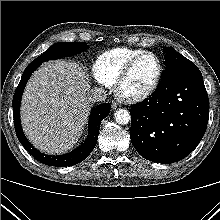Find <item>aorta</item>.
Instances as JSON below:
<instances>
[{"label": "aorta", "instance_id": "obj_1", "mask_svg": "<svg viewBox=\"0 0 220 220\" xmlns=\"http://www.w3.org/2000/svg\"><path fill=\"white\" fill-rule=\"evenodd\" d=\"M115 120L120 125H126L131 120V115L128 110L119 109L114 113Z\"/></svg>", "mask_w": 220, "mask_h": 220}]
</instances>
